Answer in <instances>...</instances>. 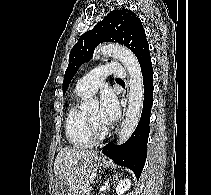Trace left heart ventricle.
Masks as SVG:
<instances>
[{
    "instance_id": "obj_1",
    "label": "left heart ventricle",
    "mask_w": 211,
    "mask_h": 195,
    "mask_svg": "<svg viewBox=\"0 0 211 195\" xmlns=\"http://www.w3.org/2000/svg\"><path fill=\"white\" fill-rule=\"evenodd\" d=\"M88 116L92 119L98 129L103 130L106 127L99 120V109H94L88 113Z\"/></svg>"
}]
</instances>
